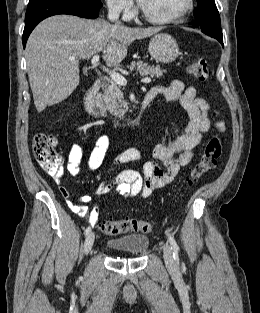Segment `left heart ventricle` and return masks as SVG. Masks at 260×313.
<instances>
[{"label": "left heart ventricle", "instance_id": "1", "mask_svg": "<svg viewBox=\"0 0 260 313\" xmlns=\"http://www.w3.org/2000/svg\"><path fill=\"white\" fill-rule=\"evenodd\" d=\"M139 3L152 16L170 17L184 8L186 0H139Z\"/></svg>", "mask_w": 260, "mask_h": 313}]
</instances>
